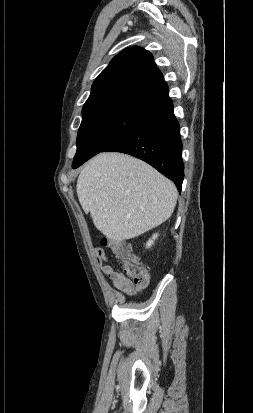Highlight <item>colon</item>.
<instances>
[{
    "instance_id": "obj_1",
    "label": "colon",
    "mask_w": 253,
    "mask_h": 413,
    "mask_svg": "<svg viewBox=\"0 0 253 413\" xmlns=\"http://www.w3.org/2000/svg\"><path fill=\"white\" fill-rule=\"evenodd\" d=\"M102 245L108 247L122 261L125 275L131 278L137 286L144 287L148 284L149 272L132 252V248L127 242L103 238Z\"/></svg>"
}]
</instances>
